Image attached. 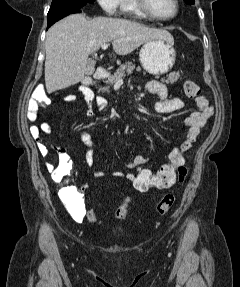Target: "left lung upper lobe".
Segmentation results:
<instances>
[{
    "instance_id": "1",
    "label": "left lung upper lobe",
    "mask_w": 240,
    "mask_h": 287,
    "mask_svg": "<svg viewBox=\"0 0 240 287\" xmlns=\"http://www.w3.org/2000/svg\"><path fill=\"white\" fill-rule=\"evenodd\" d=\"M187 4L191 5L194 4L195 0H184Z\"/></svg>"
}]
</instances>
